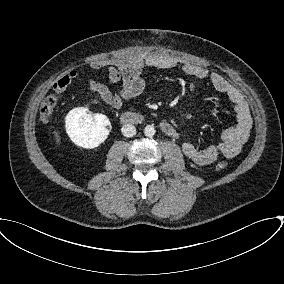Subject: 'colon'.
<instances>
[{"label":"colon","instance_id":"5ec220e1","mask_svg":"<svg viewBox=\"0 0 284 284\" xmlns=\"http://www.w3.org/2000/svg\"><path fill=\"white\" fill-rule=\"evenodd\" d=\"M57 103V96L54 94L48 95L41 103L40 106V119L44 123H48L52 117L54 108ZM218 170H224L227 167L226 162H220L216 165Z\"/></svg>","mask_w":284,"mask_h":284}]
</instances>
